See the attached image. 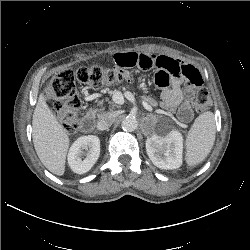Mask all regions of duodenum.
I'll return each mask as SVG.
<instances>
[{"label": "duodenum", "instance_id": "1", "mask_svg": "<svg viewBox=\"0 0 250 250\" xmlns=\"http://www.w3.org/2000/svg\"><path fill=\"white\" fill-rule=\"evenodd\" d=\"M94 118H95V115H94V112H92V111L87 112L83 116L81 124H82V129L85 132H89L92 130Z\"/></svg>", "mask_w": 250, "mask_h": 250}]
</instances>
